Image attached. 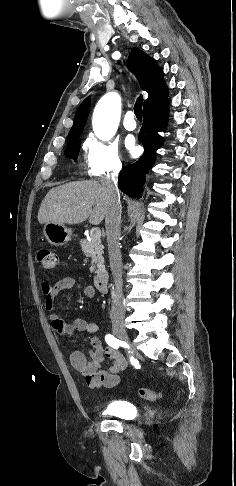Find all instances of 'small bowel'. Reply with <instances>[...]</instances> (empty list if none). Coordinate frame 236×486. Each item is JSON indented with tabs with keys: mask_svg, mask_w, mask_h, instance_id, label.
<instances>
[{
	"mask_svg": "<svg viewBox=\"0 0 236 486\" xmlns=\"http://www.w3.org/2000/svg\"><path fill=\"white\" fill-rule=\"evenodd\" d=\"M77 280L73 277H64L54 284L42 283L45 308L51 311L50 319L53 329L59 336H71L75 332L95 334L99 327L95 322H89L78 317L72 323H67L55 312V298L65 290L75 288ZM83 292L87 297L95 294L91 286H85ZM92 349L89 358L78 350L71 352L69 356L71 366L77 370L91 389L113 388L120 381L119 373L126 367V361L121 353L111 347H103L100 339L92 336L90 339ZM105 360H110L108 369L103 368Z\"/></svg>",
	"mask_w": 236,
	"mask_h": 486,
	"instance_id": "small-bowel-1",
	"label": "small bowel"
}]
</instances>
